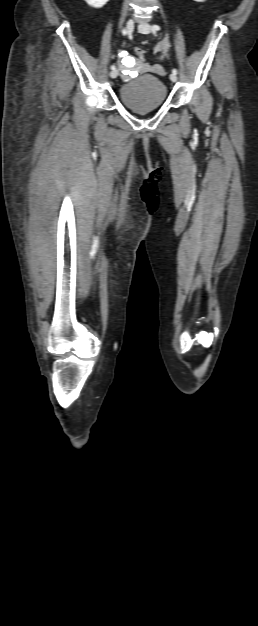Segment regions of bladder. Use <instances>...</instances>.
Returning a JSON list of instances; mask_svg holds the SVG:
<instances>
[{"mask_svg": "<svg viewBox=\"0 0 258 626\" xmlns=\"http://www.w3.org/2000/svg\"><path fill=\"white\" fill-rule=\"evenodd\" d=\"M120 100L128 109L142 113L161 107L167 97L165 84L153 75H142L121 85Z\"/></svg>", "mask_w": 258, "mask_h": 626, "instance_id": "obj_1", "label": "bladder"}]
</instances>
